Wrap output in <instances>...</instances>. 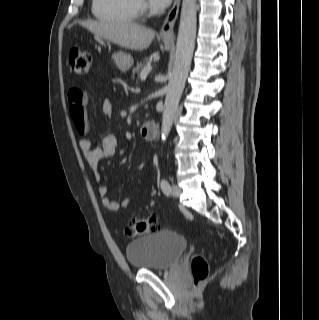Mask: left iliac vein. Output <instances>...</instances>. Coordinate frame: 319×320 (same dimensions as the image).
I'll list each match as a JSON object with an SVG mask.
<instances>
[{
    "mask_svg": "<svg viewBox=\"0 0 319 320\" xmlns=\"http://www.w3.org/2000/svg\"><path fill=\"white\" fill-rule=\"evenodd\" d=\"M181 192H182V190L178 185H173L172 186V194H173V196L178 197V196H180Z\"/></svg>",
    "mask_w": 319,
    "mask_h": 320,
    "instance_id": "4c4485c4",
    "label": "left iliac vein"
}]
</instances>
